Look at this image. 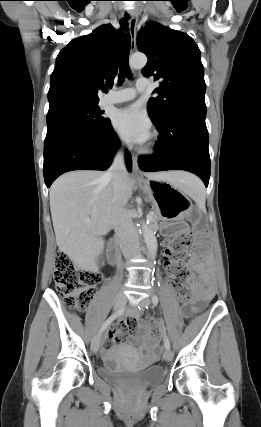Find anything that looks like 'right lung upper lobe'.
<instances>
[{
  "instance_id": "cb5924a9",
  "label": "right lung upper lobe",
  "mask_w": 261,
  "mask_h": 427,
  "mask_svg": "<svg viewBox=\"0 0 261 427\" xmlns=\"http://www.w3.org/2000/svg\"><path fill=\"white\" fill-rule=\"evenodd\" d=\"M124 33L110 24L73 39L56 58L48 92L49 109L69 105H95L97 91L113 86Z\"/></svg>"
}]
</instances>
